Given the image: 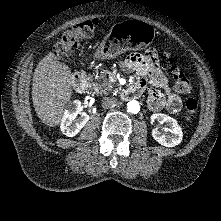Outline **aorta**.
<instances>
[{"instance_id": "aorta-1", "label": "aorta", "mask_w": 221, "mask_h": 221, "mask_svg": "<svg viewBox=\"0 0 221 221\" xmlns=\"http://www.w3.org/2000/svg\"><path fill=\"white\" fill-rule=\"evenodd\" d=\"M127 109L133 114H137L140 111V105L138 101L132 100L127 103Z\"/></svg>"}]
</instances>
